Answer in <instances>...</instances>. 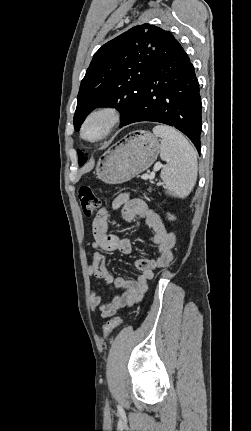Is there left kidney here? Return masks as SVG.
Masks as SVG:
<instances>
[{
  "label": "left kidney",
  "instance_id": "left-kidney-1",
  "mask_svg": "<svg viewBox=\"0 0 251 431\" xmlns=\"http://www.w3.org/2000/svg\"><path fill=\"white\" fill-rule=\"evenodd\" d=\"M168 218H169V220H174L175 219V217L173 215H170V214H168Z\"/></svg>",
  "mask_w": 251,
  "mask_h": 431
}]
</instances>
